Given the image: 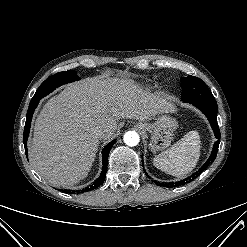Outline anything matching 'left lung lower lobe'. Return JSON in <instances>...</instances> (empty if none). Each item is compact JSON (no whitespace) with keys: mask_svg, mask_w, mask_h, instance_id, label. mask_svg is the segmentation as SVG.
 Wrapping results in <instances>:
<instances>
[{"mask_svg":"<svg viewBox=\"0 0 247 247\" xmlns=\"http://www.w3.org/2000/svg\"><path fill=\"white\" fill-rule=\"evenodd\" d=\"M184 102L191 103L195 107L199 108L207 116L213 128L215 136L218 140L214 143L212 153L209 159L207 160V162L198 171L193 173L190 177H188L185 180L179 181L178 185H184L186 183L193 181L215 160L218 147H219V139H220V130H219L218 123H217V102L214 99V97L205 98V99H193V100H188ZM162 185L172 186L173 183H170V184L162 183Z\"/></svg>","mask_w":247,"mask_h":247,"instance_id":"obj_1","label":"left lung lower lobe"}]
</instances>
